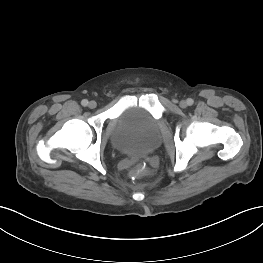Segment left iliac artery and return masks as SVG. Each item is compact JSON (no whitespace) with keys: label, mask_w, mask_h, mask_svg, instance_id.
Segmentation results:
<instances>
[{"label":"left iliac artery","mask_w":263,"mask_h":263,"mask_svg":"<svg viewBox=\"0 0 263 263\" xmlns=\"http://www.w3.org/2000/svg\"><path fill=\"white\" fill-rule=\"evenodd\" d=\"M193 102H194L193 99H191V98L187 99V104L189 106H191L193 104Z\"/></svg>","instance_id":"1"}]
</instances>
